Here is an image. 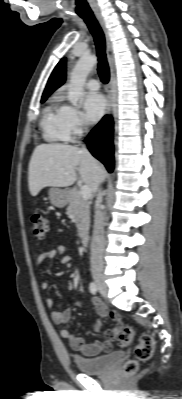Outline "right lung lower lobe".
Instances as JSON below:
<instances>
[{
    "mask_svg": "<svg viewBox=\"0 0 182 399\" xmlns=\"http://www.w3.org/2000/svg\"><path fill=\"white\" fill-rule=\"evenodd\" d=\"M90 152L100 160L111 173L114 168L113 158V120L105 116L86 138Z\"/></svg>",
    "mask_w": 182,
    "mask_h": 399,
    "instance_id": "1",
    "label": "right lung lower lobe"
}]
</instances>
